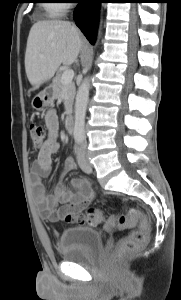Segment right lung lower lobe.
Returning a JSON list of instances; mask_svg holds the SVG:
<instances>
[{
  "instance_id": "1",
  "label": "right lung lower lobe",
  "mask_w": 181,
  "mask_h": 300,
  "mask_svg": "<svg viewBox=\"0 0 181 300\" xmlns=\"http://www.w3.org/2000/svg\"><path fill=\"white\" fill-rule=\"evenodd\" d=\"M101 0H79L74 20L91 44H94Z\"/></svg>"
}]
</instances>
